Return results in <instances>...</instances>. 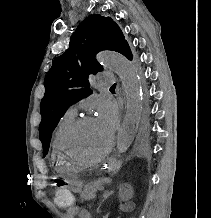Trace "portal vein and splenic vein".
I'll return each instance as SVG.
<instances>
[{"label": "portal vein and splenic vein", "instance_id": "18ae733b", "mask_svg": "<svg viewBox=\"0 0 211 218\" xmlns=\"http://www.w3.org/2000/svg\"><path fill=\"white\" fill-rule=\"evenodd\" d=\"M100 188H101V189H106V186H101Z\"/></svg>", "mask_w": 211, "mask_h": 218}]
</instances>
